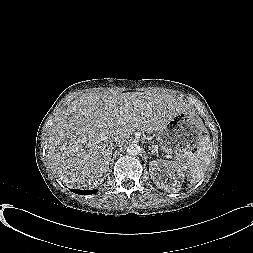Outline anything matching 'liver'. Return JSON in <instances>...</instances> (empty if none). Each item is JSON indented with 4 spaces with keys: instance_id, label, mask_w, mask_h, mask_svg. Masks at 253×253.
<instances>
[{
    "instance_id": "6515ba94",
    "label": "liver",
    "mask_w": 253,
    "mask_h": 253,
    "mask_svg": "<svg viewBox=\"0 0 253 253\" xmlns=\"http://www.w3.org/2000/svg\"><path fill=\"white\" fill-rule=\"evenodd\" d=\"M180 113H191V106L169 93H85L55 118L48 138L49 164L64 184L95 188L105 179L114 137L123 143L135 130L158 132Z\"/></svg>"
}]
</instances>
